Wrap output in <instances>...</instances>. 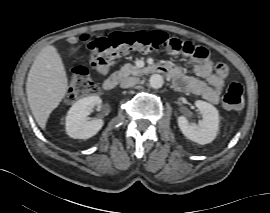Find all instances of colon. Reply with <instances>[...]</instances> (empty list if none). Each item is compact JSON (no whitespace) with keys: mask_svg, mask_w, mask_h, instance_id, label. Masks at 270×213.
Masks as SVG:
<instances>
[{"mask_svg":"<svg viewBox=\"0 0 270 213\" xmlns=\"http://www.w3.org/2000/svg\"><path fill=\"white\" fill-rule=\"evenodd\" d=\"M79 42L91 52V62L95 65L111 64L123 52L148 53L158 51L167 43L170 44L169 50L172 52L181 51L187 55H194L198 59H204L208 56V51L204 47L171 37L159 30L138 31L132 34L115 32L101 37L83 34L79 37ZM217 72L225 77L228 70L223 64H219ZM97 90L98 88L91 79L87 68L78 66L70 74L66 100L74 103L81 98L96 93ZM243 102V87L239 83L232 82L223 96V108L226 110L240 109Z\"/></svg>","mask_w":270,"mask_h":213,"instance_id":"1","label":"colon"}]
</instances>
